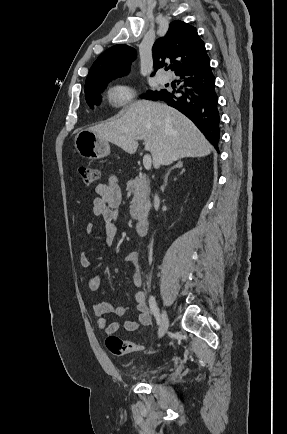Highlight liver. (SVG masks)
I'll return each mask as SVG.
<instances>
[{"label":"liver","instance_id":"6515ba94","mask_svg":"<svg viewBox=\"0 0 287 434\" xmlns=\"http://www.w3.org/2000/svg\"><path fill=\"white\" fill-rule=\"evenodd\" d=\"M89 130L129 154L138 148L137 137L144 139L155 168L185 157H204L213 149L182 113L164 103L147 100L136 101L119 119Z\"/></svg>","mask_w":287,"mask_h":434}]
</instances>
